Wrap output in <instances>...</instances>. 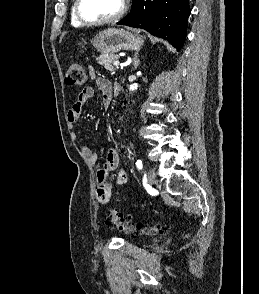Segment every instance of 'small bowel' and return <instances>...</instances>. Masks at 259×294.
Segmentation results:
<instances>
[{
  "mask_svg": "<svg viewBox=\"0 0 259 294\" xmlns=\"http://www.w3.org/2000/svg\"><path fill=\"white\" fill-rule=\"evenodd\" d=\"M90 77L95 79L96 85L101 92L102 104L107 108L116 94V90L119 89L120 85L115 84L114 86L105 78H97L95 71L91 68L89 70ZM94 96V89L91 86L84 87L77 96L76 101L69 109L67 113V119L70 124L77 122L83 106ZM77 134L72 133V137L76 138ZM82 153L89 159L92 164L96 163L97 156L95 152L87 145L80 147ZM119 164V153L115 148H111L108 151L107 159L104 167L97 171V188L96 198L100 204H107L112 197V183L110 172L115 171L114 180L118 184H124L128 181V175L124 170H117Z\"/></svg>",
  "mask_w": 259,
  "mask_h": 294,
  "instance_id": "obj_1",
  "label": "small bowel"
}]
</instances>
